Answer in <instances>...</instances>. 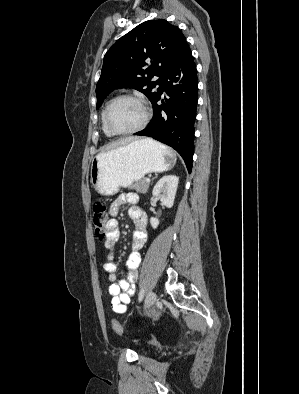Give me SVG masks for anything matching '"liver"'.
I'll use <instances>...</instances> for the list:
<instances>
[{"instance_id":"6515ba94","label":"liver","mask_w":299,"mask_h":394,"mask_svg":"<svg viewBox=\"0 0 299 394\" xmlns=\"http://www.w3.org/2000/svg\"><path fill=\"white\" fill-rule=\"evenodd\" d=\"M134 140H135V138L129 137V138H126V139H123L121 141H118V142L114 143L111 147L115 148V147H118V146H121V145H125V144H128V143H130V142H132Z\"/></svg>"}]
</instances>
